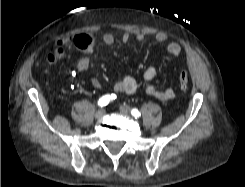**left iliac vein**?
<instances>
[{
    "mask_svg": "<svg viewBox=\"0 0 245 187\" xmlns=\"http://www.w3.org/2000/svg\"><path fill=\"white\" fill-rule=\"evenodd\" d=\"M120 112L124 115H129L131 113V108L128 105L120 106Z\"/></svg>",
    "mask_w": 245,
    "mask_h": 187,
    "instance_id": "obj_1",
    "label": "left iliac vein"
}]
</instances>
